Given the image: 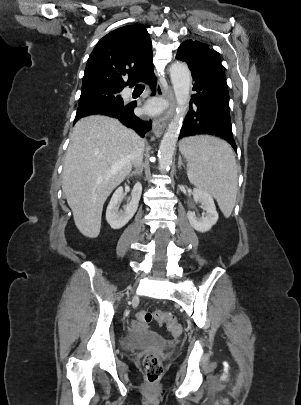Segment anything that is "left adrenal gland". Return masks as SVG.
Masks as SVG:
<instances>
[{"label": "left adrenal gland", "instance_id": "obj_1", "mask_svg": "<svg viewBox=\"0 0 301 405\" xmlns=\"http://www.w3.org/2000/svg\"><path fill=\"white\" fill-rule=\"evenodd\" d=\"M183 165L181 157H179V162H178V168L181 169V166Z\"/></svg>", "mask_w": 301, "mask_h": 405}]
</instances>
